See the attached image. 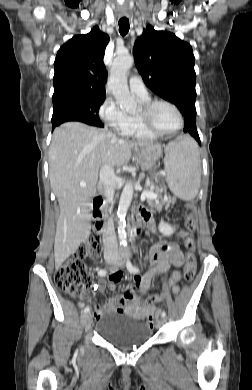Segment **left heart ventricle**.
I'll return each mask as SVG.
<instances>
[{
	"mask_svg": "<svg viewBox=\"0 0 252 390\" xmlns=\"http://www.w3.org/2000/svg\"><path fill=\"white\" fill-rule=\"evenodd\" d=\"M151 119L156 129L169 131L178 125L175 111L166 104H158L152 112Z\"/></svg>",
	"mask_w": 252,
	"mask_h": 390,
	"instance_id": "left-heart-ventricle-1",
	"label": "left heart ventricle"
}]
</instances>
